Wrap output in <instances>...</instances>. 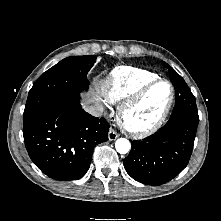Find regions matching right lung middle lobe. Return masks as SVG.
<instances>
[{
  "instance_id": "obj_1",
  "label": "right lung middle lobe",
  "mask_w": 221,
  "mask_h": 221,
  "mask_svg": "<svg viewBox=\"0 0 221 221\" xmlns=\"http://www.w3.org/2000/svg\"><path fill=\"white\" fill-rule=\"evenodd\" d=\"M96 61L93 55L72 56L44 72L29 91L23 114L24 126L57 105L80 101L88 90L87 73Z\"/></svg>"
}]
</instances>
